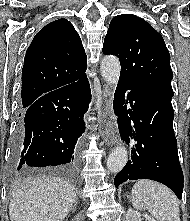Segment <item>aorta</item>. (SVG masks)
<instances>
[{"mask_svg": "<svg viewBox=\"0 0 190 221\" xmlns=\"http://www.w3.org/2000/svg\"><path fill=\"white\" fill-rule=\"evenodd\" d=\"M100 70L104 80L115 88L119 81L121 70L119 59L113 55L105 56L101 61ZM127 160L128 153L126 148L117 146L108 157L107 168L111 172L117 173L123 169Z\"/></svg>", "mask_w": 190, "mask_h": 221, "instance_id": "762f6f07", "label": "aorta"}]
</instances>
